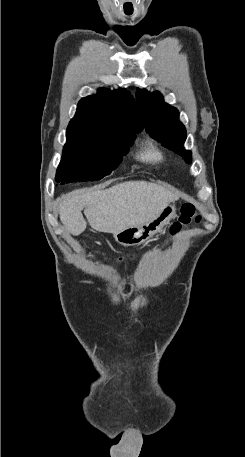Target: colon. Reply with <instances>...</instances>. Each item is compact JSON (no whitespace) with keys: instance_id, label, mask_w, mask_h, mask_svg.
<instances>
[{"instance_id":"1","label":"colon","mask_w":245,"mask_h":457,"mask_svg":"<svg viewBox=\"0 0 245 457\" xmlns=\"http://www.w3.org/2000/svg\"><path fill=\"white\" fill-rule=\"evenodd\" d=\"M200 219L201 217L197 214L195 206L192 203H185L181 207V213L178 220L173 223L170 228L171 235H177L184 227L189 226L193 222H199Z\"/></svg>"}]
</instances>
